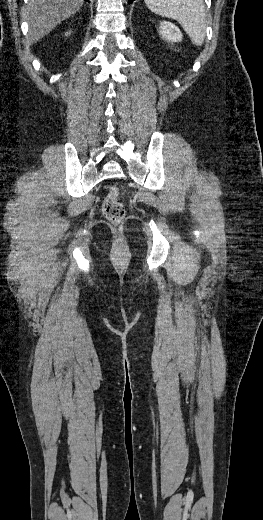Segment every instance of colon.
<instances>
[{"label": "colon", "instance_id": "obj_1", "mask_svg": "<svg viewBox=\"0 0 263 520\" xmlns=\"http://www.w3.org/2000/svg\"><path fill=\"white\" fill-rule=\"evenodd\" d=\"M104 217L112 223H120L125 218V207L119 199V189L111 186L102 204Z\"/></svg>", "mask_w": 263, "mask_h": 520}]
</instances>
